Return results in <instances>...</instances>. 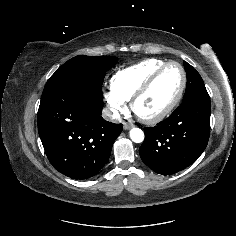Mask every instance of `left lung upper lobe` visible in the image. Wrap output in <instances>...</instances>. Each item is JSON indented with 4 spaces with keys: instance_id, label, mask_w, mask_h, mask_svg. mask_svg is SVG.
<instances>
[{
    "instance_id": "5c2ea615",
    "label": "left lung upper lobe",
    "mask_w": 236,
    "mask_h": 236,
    "mask_svg": "<svg viewBox=\"0 0 236 236\" xmlns=\"http://www.w3.org/2000/svg\"><path fill=\"white\" fill-rule=\"evenodd\" d=\"M184 67L187 73V85L183 101H186L187 99L197 95L208 94L199 73L185 61Z\"/></svg>"
}]
</instances>
